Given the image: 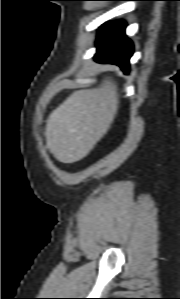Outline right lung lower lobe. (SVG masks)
<instances>
[{
    "label": "right lung lower lobe",
    "instance_id": "obj_1",
    "mask_svg": "<svg viewBox=\"0 0 180 299\" xmlns=\"http://www.w3.org/2000/svg\"><path fill=\"white\" fill-rule=\"evenodd\" d=\"M125 27L124 21L105 23L100 27L95 59L101 63L118 65L127 74L129 59L133 54V44L125 35Z\"/></svg>",
    "mask_w": 180,
    "mask_h": 299
}]
</instances>
